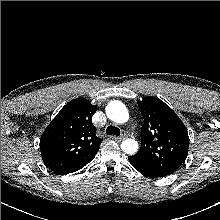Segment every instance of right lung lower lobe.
Masks as SVG:
<instances>
[{
	"label": "right lung lower lobe",
	"mask_w": 220,
	"mask_h": 220,
	"mask_svg": "<svg viewBox=\"0 0 220 220\" xmlns=\"http://www.w3.org/2000/svg\"><path fill=\"white\" fill-rule=\"evenodd\" d=\"M93 158H94V157H93ZM93 158H92V159H93ZM92 159H91V160H92ZM91 160H89V161H87V162H84V163H81V164H78V165H75V166H73V167H71V168H68V169L64 170L63 172H61V173H59V174L73 173V172H75V171L81 169L82 167H84V166H85L86 164H88Z\"/></svg>",
	"instance_id": "1"
}]
</instances>
